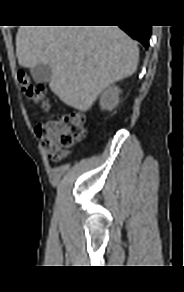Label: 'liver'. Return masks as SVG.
Wrapping results in <instances>:
<instances>
[{
    "mask_svg": "<svg viewBox=\"0 0 184 292\" xmlns=\"http://www.w3.org/2000/svg\"><path fill=\"white\" fill-rule=\"evenodd\" d=\"M16 55L25 68L49 65L51 91L85 112L106 87L136 72L139 49L118 26H21Z\"/></svg>",
    "mask_w": 184,
    "mask_h": 292,
    "instance_id": "6515ba94",
    "label": "liver"
}]
</instances>
